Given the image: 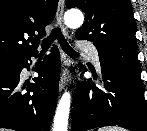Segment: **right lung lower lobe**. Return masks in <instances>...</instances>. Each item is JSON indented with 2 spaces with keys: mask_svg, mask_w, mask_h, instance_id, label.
<instances>
[{
  "mask_svg": "<svg viewBox=\"0 0 147 131\" xmlns=\"http://www.w3.org/2000/svg\"><path fill=\"white\" fill-rule=\"evenodd\" d=\"M38 53V52H37ZM33 53L16 60L12 66L0 68V128L18 131H49L55 112L60 77V57L57 48L37 66L34 83H20V72L29 69ZM26 88L29 93L22 94Z\"/></svg>",
  "mask_w": 147,
  "mask_h": 131,
  "instance_id": "right-lung-lower-lobe-1",
  "label": "right lung lower lobe"
}]
</instances>
